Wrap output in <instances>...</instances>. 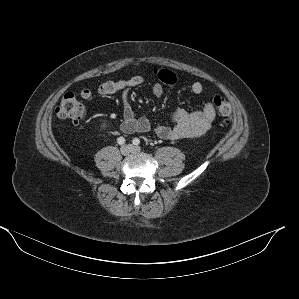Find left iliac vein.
Here are the masks:
<instances>
[{
  "instance_id": "left-iliac-vein-1",
  "label": "left iliac vein",
  "mask_w": 299,
  "mask_h": 299,
  "mask_svg": "<svg viewBox=\"0 0 299 299\" xmlns=\"http://www.w3.org/2000/svg\"><path fill=\"white\" fill-rule=\"evenodd\" d=\"M128 146L130 147L132 153H138L141 151L140 147L138 146H134V145H128Z\"/></svg>"
}]
</instances>
